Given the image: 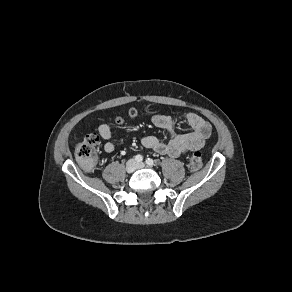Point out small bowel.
Wrapping results in <instances>:
<instances>
[{
  "mask_svg": "<svg viewBox=\"0 0 292 292\" xmlns=\"http://www.w3.org/2000/svg\"><path fill=\"white\" fill-rule=\"evenodd\" d=\"M185 120L192 131L185 134H179L175 129V121L172 117L165 114H154L151 118L153 125L169 132L170 140L162 142L155 136H144L141 143L144 147L151 149L161 155L170 157H179L189 151L200 149L205 141L211 135L210 123L196 113H187ZM99 135L106 142L104 150L112 153L115 150V144L111 140V129L107 124H101L98 127Z\"/></svg>",
  "mask_w": 292,
  "mask_h": 292,
  "instance_id": "small-bowel-1",
  "label": "small bowel"
}]
</instances>
